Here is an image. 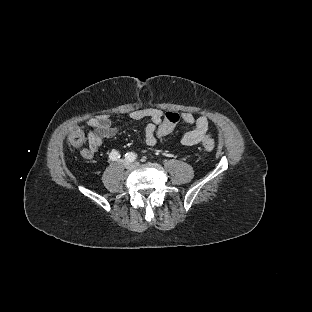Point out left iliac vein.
Instances as JSON below:
<instances>
[{
    "instance_id": "left-iliac-vein-1",
    "label": "left iliac vein",
    "mask_w": 312,
    "mask_h": 312,
    "mask_svg": "<svg viewBox=\"0 0 312 312\" xmlns=\"http://www.w3.org/2000/svg\"><path fill=\"white\" fill-rule=\"evenodd\" d=\"M133 165H134V166H138L139 164H138V163H134Z\"/></svg>"
}]
</instances>
